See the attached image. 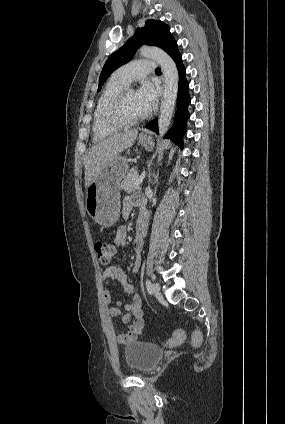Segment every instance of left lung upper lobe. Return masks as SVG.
<instances>
[{"label": "left lung upper lobe", "mask_w": 285, "mask_h": 424, "mask_svg": "<svg viewBox=\"0 0 285 424\" xmlns=\"http://www.w3.org/2000/svg\"><path fill=\"white\" fill-rule=\"evenodd\" d=\"M145 42L149 45L160 47L167 52L175 42V39L171 36L169 27L162 21L147 20L145 27L138 28L134 36L108 58L99 78L98 91H100L111 73L120 66L128 63L133 58L137 49Z\"/></svg>", "instance_id": "1"}]
</instances>
